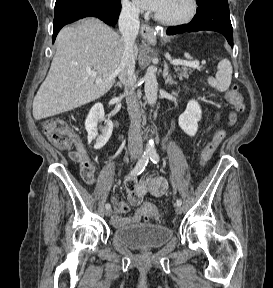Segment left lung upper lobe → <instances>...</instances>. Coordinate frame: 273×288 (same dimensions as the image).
<instances>
[{
	"instance_id": "obj_1",
	"label": "left lung upper lobe",
	"mask_w": 273,
	"mask_h": 288,
	"mask_svg": "<svg viewBox=\"0 0 273 288\" xmlns=\"http://www.w3.org/2000/svg\"><path fill=\"white\" fill-rule=\"evenodd\" d=\"M197 1V4L198 3H201L202 1H206V0H196Z\"/></svg>"
}]
</instances>
